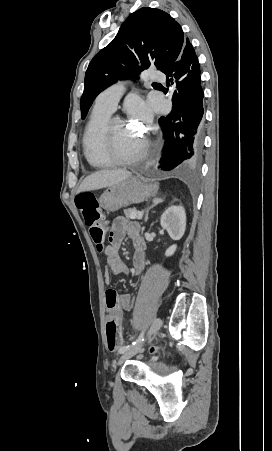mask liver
Returning <instances> with one entry per match:
<instances>
[{"label": "liver", "instance_id": "6515ba94", "mask_svg": "<svg viewBox=\"0 0 272 451\" xmlns=\"http://www.w3.org/2000/svg\"><path fill=\"white\" fill-rule=\"evenodd\" d=\"M131 172H127L125 168H117V170H100L95 172L91 176H87L83 182H81L77 194L79 192H86V190H99V188H108L113 184H118L126 178H130Z\"/></svg>", "mask_w": 272, "mask_h": 451}]
</instances>
